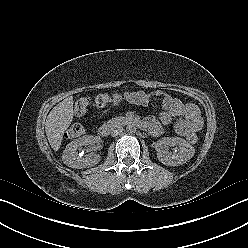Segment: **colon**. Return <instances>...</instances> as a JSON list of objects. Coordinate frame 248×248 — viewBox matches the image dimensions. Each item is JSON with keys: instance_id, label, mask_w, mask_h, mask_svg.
Listing matches in <instances>:
<instances>
[{"instance_id": "colon-1", "label": "colon", "mask_w": 248, "mask_h": 248, "mask_svg": "<svg viewBox=\"0 0 248 248\" xmlns=\"http://www.w3.org/2000/svg\"><path fill=\"white\" fill-rule=\"evenodd\" d=\"M115 99V97L112 95L102 94L96 97L94 104L96 106H105L106 104L112 102ZM90 104V100L87 97H80L76 100L74 105V111L77 117H82L88 109V106ZM84 128L80 124H73L70 126V128L66 132L67 138H79L83 135ZM198 140V137L196 134H192L187 141L189 143H196Z\"/></svg>"}]
</instances>
